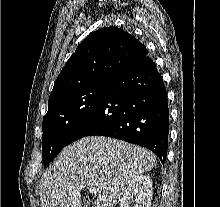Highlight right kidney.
Returning <instances> with one entry per match:
<instances>
[{"instance_id": "obj_1", "label": "right kidney", "mask_w": 220, "mask_h": 207, "mask_svg": "<svg viewBox=\"0 0 220 207\" xmlns=\"http://www.w3.org/2000/svg\"><path fill=\"white\" fill-rule=\"evenodd\" d=\"M133 199L135 205L133 206ZM152 182L148 175L134 178L124 191L120 207H151Z\"/></svg>"}]
</instances>
